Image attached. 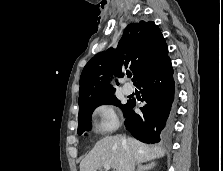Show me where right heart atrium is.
<instances>
[{
	"label": "right heart atrium",
	"instance_id": "d8ad5b80",
	"mask_svg": "<svg viewBox=\"0 0 223 171\" xmlns=\"http://www.w3.org/2000/svg\"><path fill=\"white\" fill-rule=\"evenodd\" d=\"M93 125L99 134L113 132L119 126V117L115 107L109 103L98 105L93 111Z\"/></svg>",
	"mask_w": 223,
	"mask_h": 171
}]
</instances>
